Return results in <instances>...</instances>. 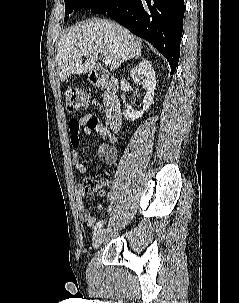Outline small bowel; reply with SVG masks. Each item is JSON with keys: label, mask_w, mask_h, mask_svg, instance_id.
I'll list each match as a JSON object with an SVG mask.
<instances>
[{"label": "small bowel", "mask_w": 239, "mask_h": 303, "mask_svg": "<svg viewBox=\"0 0 239 303\" xmlns=\"http://www.w3.org/2000/svg\"><path fill=\"white\" fill-rule=\"evenodd\" d=\"M68 129L70 134V143L75 149H77L81 144L80 134L82 130L87 135L98 134L103 139L109 140L112 144L117 141V137L110 133L108 128L100 121V119L94 117L91 113H84L78 118L71 119L68 122ZM112 144L103 143L98 148L97 156L104 160V165L106 167L112 166L116 162L117 149ZM72 162L79 174H84L86 172V166L80 160V155L77 150H75L72 154ZM106 184V180L101 181L102 187L106 186ZM85 195L86 191L83 185H76L75 196L79 219L80 221L86 223L89 227H93L95 220L90 211L85 208L83 203V198ZM98 208L102 210L103 205L98 203Z\"/></svg>", "instance_id": "obj_1"}]
</instances>
